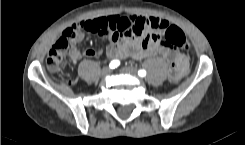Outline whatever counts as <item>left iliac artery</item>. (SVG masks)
<instances>
[{"label":"left iliac artery","mask_w":245,"mask_h":145,"mask_svg":"<svg viewBox=\"0 0 245 145\" xmlns=\"http://www.w3.org/2000/svg\"><path fill=\"white\" fill-rule=\"evenodd\" d=\"M138 75L140 77H145L146 76V71L144 69H140V70H138Z\"/></svg>","instance_id":"44dca946"}]
</instances>
